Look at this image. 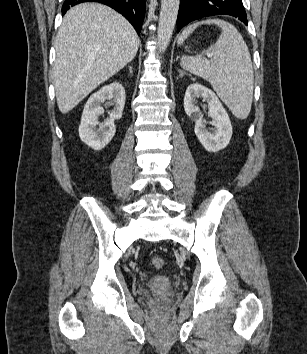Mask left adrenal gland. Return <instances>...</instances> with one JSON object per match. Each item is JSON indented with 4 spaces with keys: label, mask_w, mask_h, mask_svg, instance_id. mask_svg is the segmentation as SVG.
Returning a JSON list of instances; mask_svg holds the SVG:
<instances>
[{
    "label": "left adrenal gland",
    "mask_w": 307,
    "mask_h": 354,
    "mask_svg": "<svg viewBox=\"0 0 307 354\" xmlns=\"http://www.w3.org/2000/svg\"><path fill=\"white\" fill-rule=\"evenodd\" d=\"M179 72V77L182 78L184 75H188L186 74L185 72L181 71V70H178Z\"/></svg>",
    "instance_id": "left-adrenal-gland-1"
}]
</instances>
